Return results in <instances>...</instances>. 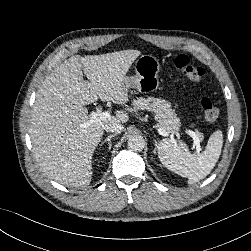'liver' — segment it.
<instances>
[{
    "instance_id": "6515ba94",
    "label": "liver",
    "mask_w": 251,
    "mask_h": 251,
    "mask_svg": "<svg viewBox=\"0 0 251 251\" xmlns=\"http://www.w3.org/2000/svg\"><path fill=\"white\" fill-rule=\"evenodd\" d=\"M138 50L70 57L46 77L38 89L30 120L33 153L48 178L71 187L88 186L92 157L109 123H126L129 116H115L90 123L84 107L98 98L125 104L129 101L123 80ZM89 79H83V73Z\"/></svg>"
}]
</instances>
